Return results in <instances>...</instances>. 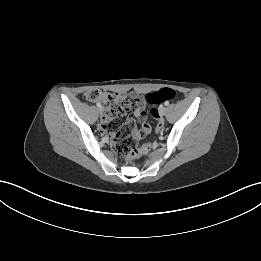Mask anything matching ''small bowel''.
Masks as SVG:
<instances>
[{"label":"small bowel","mask_w":261,"mask_h":261,"mask_svg":"<svg viewBox=\"0 0 261 261\" xmlns=\"http://www.w3.org/2000/svg\"><path fill=\"white\" fill-rule=\"evenodd\" d=\"M132 98L136 101L137 103V108L134 111V116L140 121V122H145L147 119V113L145 111V106H146V100L145 98L137 93V92H132L131 93ZM103 120H104V116H103ZM102 120V121H103ZM142 133H141V138H146L148 136V134L152 133L153 128L152 126H150V124L148 123H144L142 126Z\"/></svg>","instance_id":"c3829d8e"}]
</instances>
